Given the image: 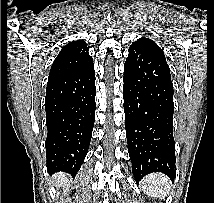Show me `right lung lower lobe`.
Wrapping results in <instances>:
<instances>
[{
  "instance_id": "obj_1",
  "label": "right lung lower lobe",
  "mask_w": 214,
  "mask_h": 203,
  "mask_svg": "<svg viewBox=\"0 0 214 203\" xmlns=\"http://www.w3.org/2000/svg\"><path fill=\"white\" fill-rule=\"evenodd\" d=\"M93 62L78 72L49 82L46 88V155L49 173L75 175L88 152L95 115Z\"/></svg>"
}]
</instances>
